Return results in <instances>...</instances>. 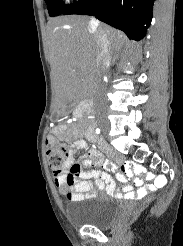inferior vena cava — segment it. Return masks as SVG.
I'll use <instances>...</instances> for the list:
<instances>
[{"label":"inferior vena cava","instance_id":"602c4592","mask_svg":"<svg viewBox=\"0 0 183 246\" xmlns=\"http://www.w3.org/2000/svg\"><path fill=\"white\" fill-rule=\"evenodd\" d=\"M90 25L96 27L99 32L98 44L100 51L97 56V68L98 78L96 82V107L98 110L105 109L107 107V98L105 93V85L102 80L104 71L110 66L112 52L109 47V41L107 35L100 28L98 21L93 17L90 20Z\"/></svg>","mask_w":183,"mask_h":246}]
</instances>
